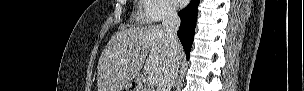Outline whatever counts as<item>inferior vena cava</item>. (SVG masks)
<instances>
[{"instance_id": "1", "label": "inferior vena cava", "mask_w": 304, "mask_h": 91, "mask_svg": "<svg viewBox=\"0 0 304 91\" xmlns=\"http://www.w3.org/2000/svg\"><path fill=\"white\" fill-rule=\"evenodd\" d=\"M179 26L180 18L176 8L173 6H166L163 11L162 28L168 43L170 59L160 75L156 91H171L177 77L181 61V46L177 37Z\"/></svg>"}]
</instances>
